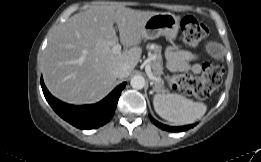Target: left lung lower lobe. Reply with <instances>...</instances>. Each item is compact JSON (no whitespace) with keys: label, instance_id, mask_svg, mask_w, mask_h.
<instances>
[{"label":"left lung lower lobe","instance_id":"1","mask_svg":"<svg viewBox=\"0 0 261 162\" xmlns=\"http://www.w3.org/2000/svg\"><path fill=\"white\" fill-rule=\"evenodd\" d=\"M149 118L156 126H158L159 128H161L163 130H166V131L180 132V131H184V130H187V129L195 126V124H192V125L181 126V127H173V126H168V125L159 123L158 121L153 119L150 115H149Z\"/></svg>","mask_w":261,"mask_h":162}]
</instances>
